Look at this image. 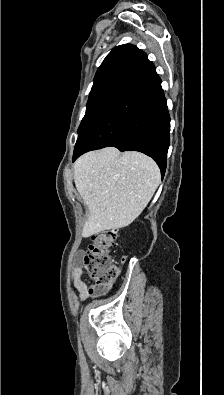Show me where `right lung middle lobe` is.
<instances>
[{
  "instance_id": "1",
  "label": "right lung middle lobe",
  "mask_w": 224,
  "mask_h": 395,
  "mask_svg": "<svg viewBox=\"0 0 224 395\" xmlns=\"http://www.w3.org/2000/svg\"><path fill=\"white\" fill-rule=\"evenodd\" d=\"M119 71H114L109 74H106L104 76H101L97 79H94V84L92 86L88 103H87V109H86V114L79 126L78 129V134L80 135L85 128L87 122L89 121L90 117L100 104V102L103 100L105 95L108 93L110 88L112 87L115 79L118 76Z\"/></svg>"
}]
</instances>
